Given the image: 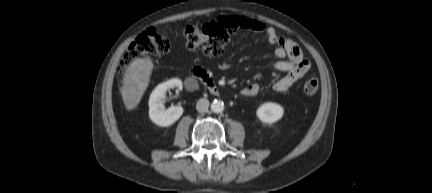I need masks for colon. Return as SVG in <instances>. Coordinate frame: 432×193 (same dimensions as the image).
Returning <instances> with one entry per match:
<instances>
[{
    "label": "colon",
    "instance_id": "colon-1",
    "mask_svg": "<svg viewBox=\"0 0 432 193\" xmlns=\"http://www.w3.org/2000/svg\"><path fill=\"white\" fill-rule=\"evenodd\" d=\"M234 29L220 20L203 25H189L184 31L186 47L189 50H201L208 56L219 57L224 53ZM170 48L168 39L159 35L154 29L139 34L130 44L121 58L119 70L124 72L131 63L142 56L165 54ZM319 82L316 77L309 76L303 84V92L307 96L316 94Z\"/></svg>",
    "mask_w": 432,
    "mask_h": 193
}]
</instances>
